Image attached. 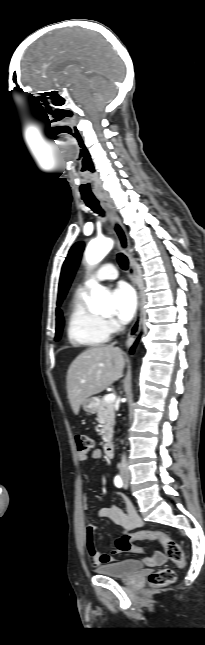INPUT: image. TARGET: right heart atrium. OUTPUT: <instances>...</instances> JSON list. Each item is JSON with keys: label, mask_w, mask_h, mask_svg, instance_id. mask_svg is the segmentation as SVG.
<instances>
[{"label": "right heart atrium", "mask_w": 205, "mask_h": 645, "mask_svg": "<svg viewBox=\"0 0 205 645\" xmlns=\"http://www.w3.org/2000/svg\"><path fill=\"white\" fill-rule=\"evenodd\" d=\"M107 325L110 329V331H113L117 328V323L114 320H108Z\"/></svg>", "instance_id": "1"}]
</instances>
